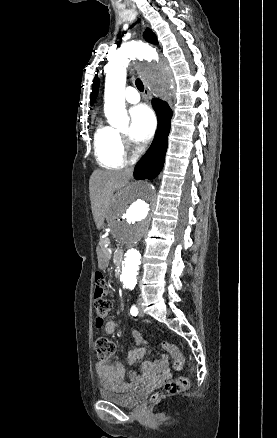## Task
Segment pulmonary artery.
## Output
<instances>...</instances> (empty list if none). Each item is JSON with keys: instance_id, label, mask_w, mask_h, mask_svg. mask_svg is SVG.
Listing matches in <instances>:
<instances>
[{"instance_id": "pulmonary-artery-1", "label": "pulmonary artery", "mask_w": 277, "mask_h": 438, "mask_svg": "<svg viewBox=\"0 0 277 438\" xmlns=\"http://www.w3.org/2000/svg\"><path fill=\"white\" fill-rule=\"evenodd\" d=\"M107 78V76H106ZM125 97L123 98L125 102L130 104H136L140 101V98L138 96L139 89L138 87H127L125 88Z\"/></svg>"}]
</instances>
